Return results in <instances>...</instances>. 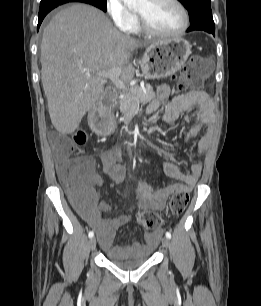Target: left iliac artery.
I'll use <instances>...</instances> for the list:
<instances>
[{"label": "left iliac artery", "instance_id": "obj_1", "mask_svg": "<svg viewBox=\"0 0 261 306\" xmlns=\"http://www.w3.org/2000/svg\"><path fill=\"white\" fill-rule=\"evenodd\" d=\"M166 237L168 238V239H171V233L170 232H166Z\"/></svg>", "mask_w": 261, "mask_h": 306}]
</instances>
